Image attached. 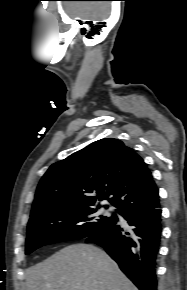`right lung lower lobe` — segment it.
I'll use <instances>...</instances> for the list:
<instances>
[{"mask_svg": "<svg viewBox=\"0 0 187 290\" xmlns=\"http://www.w3.org/2000/svg\"><path fill=\"white\" fill-rule=\"evenodd\" d=\"M160 204L124 211L121 216L131 226L117 221L87 237L86 242L102 246L120 269L140 290H157L156 260L161 244Z\"/></svg>", "mask_w": 187, "mask_h": 290, "instance_id": "right-lung-lower-lobe-1", "label": "right lung lower lobe"}]
</instances>
